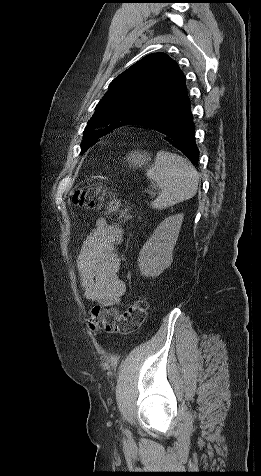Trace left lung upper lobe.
<instances>
[{
  "label": "left lung upper lobe",
  "instance_id": "1",
  "mask_svg": "<svg viewBox=\"0 0 261 476\" xmlns=\"http://www.w3.org/2000/svg\"><path fill=\"white\" fill-rule=\"evenodd\" d=\"M187 95L185 76L164 53H153L129 67L109 85L84 130L81 152L109 131L159 115Z\"/></svg>",
  "mask_w": 261,
  "mask_h": 476
}]
</instances>
